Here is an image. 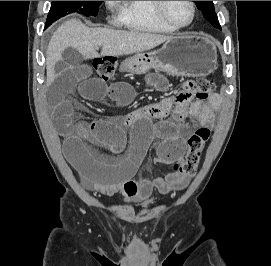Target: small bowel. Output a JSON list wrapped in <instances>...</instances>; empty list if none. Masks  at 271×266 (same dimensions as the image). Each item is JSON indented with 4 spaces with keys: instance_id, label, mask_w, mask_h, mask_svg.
Here are the masks:
<instances>
[{
    "instance_id": "obj_1",
    "label": "small bowel",
    "mask_w": 271,
    "mask_h": 266,
    "mask_svg": "<svg viewBox=\"0 0 271 266\" xmlns=\"http://www.w3.org/2000/svg\"><path fill=\"white\" fill-rule=\"evenodd\" d=\"M146 77L156 89L167 88V81L162 75L152 72ZM48 79L51 87L47 101L54 124L64 138V155L80 173L85 187L108 196L120 194L125 203H131L148 200L154 190L168 193L184 189L188 185V179L176 172L154 179L134 176L153 140H158V163L180 162L185 151L181 133L193 128V119L201 126L213 124L215 113L220 107L218 95H212L208 101L168 96L126 116L74 122V106L70 99L73 92L78 91L91 101L109 99L124 106L134 97L133 87L127 82L108 84L94 78L88 65L67 59L48 69ZM127 130H130L132 145L128 153L119 160L103 161L89 148V144H92L119 154L126 147Z\"/></svg>"
}]
</instances>
